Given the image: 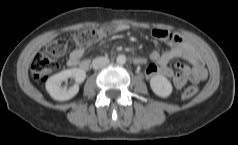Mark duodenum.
I'll return each mask as SVG.
<instances>
[{
	"instance_id": "410a0bca",
	"label": "duodenum",
	"mask_w": 238,
	"mask_h": 145,
	"mask_svg": "<svg viewBox=\"0 0 238 145\" xmlns=\"http://www.w3.org/2000/svg\"><path fill=\"white\" fill-rule=\"evenodd\" d=\"M133 62H134L135 64H139V59H138V57H135V58L133 59Z\"/></svg>"
}]
</instances>
